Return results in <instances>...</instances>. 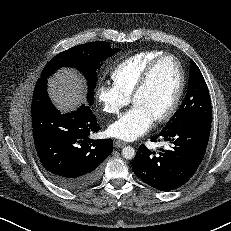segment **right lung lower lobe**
<instances>
[{"mask_svg":"<svg viewBox=\"0 0 231 231\" xmlns=\"http://www.w3.org/2000/svg\"><path fill=\"white\" fill-rule=\"evenodd\" d=\"M35 148L47 176L59 187L76 191L93 184L113 151L111 139L93 140L99 131L90 107L61 114L47 93V78L36 83L31 106Z\"/></svg>","mask_w":231,"mask_h":231,"instance_id":"1","label":"right lung lower lobe"}]
</instances>
